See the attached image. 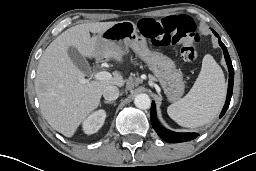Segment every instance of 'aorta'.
<instances>
[{
    "label": "aorta",
    "instance_id": "1",
    "mask_svg": "<svg viewBox=\"0 0 256 171\" xmlns=\"http://www.w3.org/2000/svg\"><path fill=\"white\" fill-rule=\"evenodd\" d=\"M134 104L137 108L139 109H148L151 105V100L150 97L145 94V93H141L136 95L135 99H134Z\"/></svg>",
    "mask_w": 256,
    "mask_h": 171
}]
</instances>
